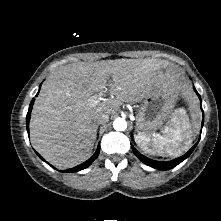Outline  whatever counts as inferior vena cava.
I'll use <instances>...</instances> for the list:
<instances>
[{
  "label": "inferior vena cava",
  "instance_id": "inferior-vena-cava-1",
  "mask_svg": "<svg viewBox=\"0 0 221 221\" xmlns=\"http://www.w3.org/2000/svg\"><path fill=\"white\" fill-rule=\"evenodd\" d=\"M108 121H109V116L107 114L100 113L94 117V122L96 123L97 126L105 124Z\"/></svg>",
  "mask_w": 221,
  "mask_h": 221
}]
</instances>
